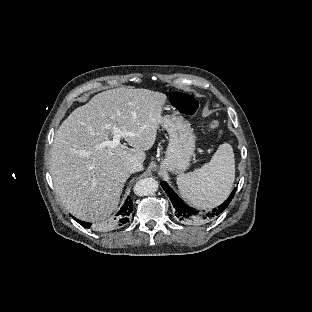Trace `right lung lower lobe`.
<instances>
[{"label":"right lung lower lobe","mask_w":312,"mask_h":312,"mask_svg":"<svg viewBox=\"0 0 312 312\" xmlns=\"http://www.w3.org/2000/svg\"><path fill=\"white\" fill-rule=\"evenodd\" d=\"M132 210H133V203L131 201V198L128 197V199L125 201V204L121 207L119 212L116 214V218H114L115 220L114 223L118 226H121L122 224H125L126 222H128L129 221L128 217L130 215V212H132ZM76 221L86 228H90L92 225L91 223H85L79 220H76Z\"/></svg>","instance_id":"obj_1"}]
</instances>
